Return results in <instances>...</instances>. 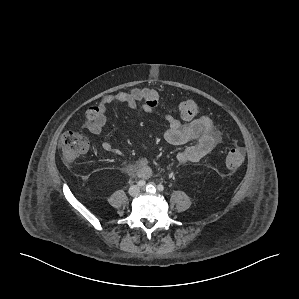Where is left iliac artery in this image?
<instances>
[{
    "label": "left iliac artery",
    "mask_w": 299,
    "mask_h": 299,
    "mask_svg": "<svg viewBox=\"0 0 299 299\" xmlns=\"http://www.w3.org/2000/svg\"><path fill=\"white\" fill-rule=\"evenodd\" d=\"M151 186H152V185H148V186H146V191H148V192H153ZM157 189H158L159 191H164V186H163L162 184H158Z\"/></svg>",
    "instance_id": "44dca946"
}]
</instances>
